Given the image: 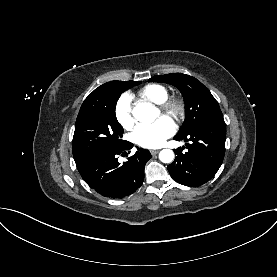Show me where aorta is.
Masks as SVG:
<instances>
[{"label": "aorta", "instance_id": "aorta-1", "mask_svg": "<svg viewBox=\"0 0 277 277\" xmlns=\"http://www.w3.org/2000/svg\"><path fill=\"white\" fill-rule=\"evenodd\" d=\"M135 119L141 122H150L158 116V111L150 103H138L132 111ZM159 159L163 163H171L174 160V152L170 149H163L159 153Z\"/></svg>", "mask_w": 277, "mask_h": 277}]
</instances>
